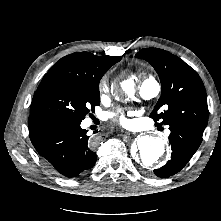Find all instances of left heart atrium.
Instances as JSON below:
<instances>
[{
    "label": "left heart atrium",
    "instance_id": "obj_1",
    "mask_svg": "<svg viewBox=\"0 0 221 221\" xmlns=\"http://www.w3.org/2000/svg\"><path fill=\"white\" fill-rule=\"evenodd\" d=\"M111 118L122 126H127L130 121L123 109H117L111 113Z\"/></svg>",
    "mask_w": 221,
    "mask_h": 221
}]
</instances>
